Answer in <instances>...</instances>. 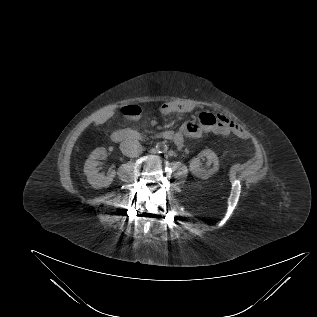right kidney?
Segmentation results:
<instances>
[{"mask_svg": "<svg viewBox=\"0 0 317 317\" xmlns=\"http://www.w3.org/2000/svg\"><path fill=\"white\" fill-rule=\"evenodd\" d=\"M106 156V149L104 147H98L91 153L85 162L84 173L87 176L89 184L95 189L109 186L116 175L115 170H110L107 175L98 172V160L105 158Z\"/></svg>", "mask_w": 317, "mask_h": 317, "instance_id": "obj_1", "label": "right kidney"}]
</instances>
